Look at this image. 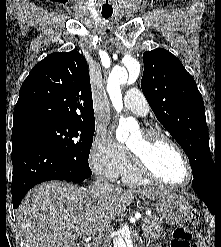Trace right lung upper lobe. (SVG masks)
<instances>
[{
  "mask_svg": "<svg viewBox=\"0 0 221 247\" xmlns=\"http://www.w3.org/2000/svg\"><path fill=\"white\" fill-rule=\"evenodd\" d=\"M13 130L47 122H95L89 71L83 55L55 52L36 64L22 84Z\"/></svg>",
  "mask_w": 221,
  "mask_h": 247,
  "instance_id": "obj_1",
  "label": "right lung upper lobe"
}]
</instances>
